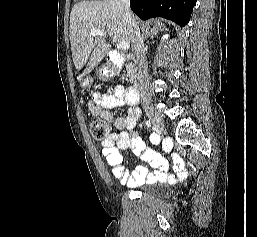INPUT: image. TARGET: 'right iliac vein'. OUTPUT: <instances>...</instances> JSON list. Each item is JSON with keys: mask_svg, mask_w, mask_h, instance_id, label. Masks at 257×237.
Here are the masks:
<instances>
[{"mask_svg": "<svg viewBox=\"0 0 257 237\" xmlns=\"http://www.w3.org/2000/svg\"><path fill=\"white\" fill-rule=\"evenodd\" d=\"M145 112L154 129L158 132H161L163 130V119L160 114L153 107H147Z\"/></svg>", "mask_w": 257, "mask_h": 237, "instance_id": "63e3f726", "label": "right iliac vein"}]
</instances>
